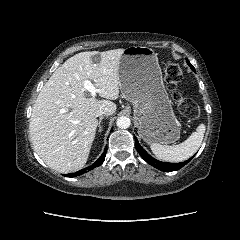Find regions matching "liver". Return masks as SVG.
Masks as SVG:
<instances>
[{"label": "liver", "instance_id": "1", "mask_svg": "<svg viewBox=\"0 0 240 240\" xmlns=\"http://www.w3.org/2000/svg\"><path fill=\"white\" fill-rule=\"evenodd\" d=\"M124 49L85 51L67 59L41 89L32 109L30 136L36 153L61 173L87 162L98 126L97 112L116 111L119 64ZM99 55L94 63L91 58ZM93 81L102 100L88 96L84 81Z\"/></svg>", "mask_w": 240, "mask_h": 240}]
</instances>
